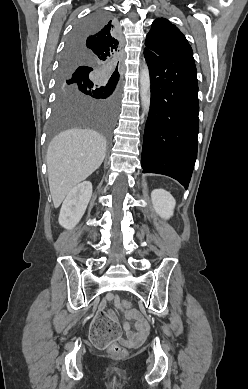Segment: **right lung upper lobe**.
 Returning a JSON list of instances; mask_svg holds the SVG:
<instances>
[{"mask_svg":"<svg viewBox=\"0 0 248 389\" xmlns=\"http://www.w3.org/2000/svg\"><path fill=\"white\" fill-rule=\"evenodd\" d=\"M74 54L82 55L88 62L100 64L108 69L114 68L121 54V40L114 24L109 21L98 31L84 37L77 44L73 43ZM119 78L117 68L111 75Z\"/></svg>","mask_w":248,"mask_h":389,"instance_id":"1","label":"right lung upper lobe"}]
</instances>
